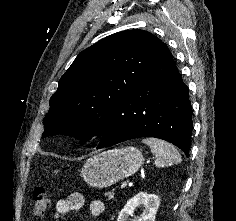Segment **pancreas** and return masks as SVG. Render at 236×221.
Masks as SVG:
<instances>
[{
  "label": "pancreas",
  "instance_id": "1",
  "mask_svg": "<svg viewBox=\"0 0 236 221\" xmlns=\"http://www.w3.org/2000/svg\"><path fill=\"white\" fill-rule=\"evenodd\" d=\"M105 196H107V199L110 200L113 198V192H106Z\"/></svg>",
  "mask_w": 236,
  "mask_h": 221
}]
</instances>
